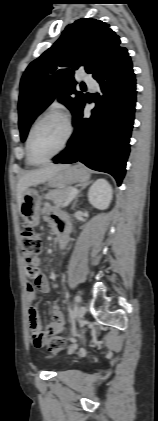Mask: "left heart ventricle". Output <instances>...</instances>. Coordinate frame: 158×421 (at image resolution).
<instances>
[{
  "mask_svg": "<svg viewBox=\"0 0 158 421\" xmlns=\"http://www.w3.org/2000/svg\"><path fill=\"white\" fill-rule=\"evenodd\" d=\"M66 126L56 116L41 121L35 128L30 144L31 155L35 161H43L55 153L64 141Z\"/></svg>",
  "mask_w": 158,
  "mask_h": 421,
  "instance_id": "1",
  "label": "left heart ventricle"
}]
</instances>
